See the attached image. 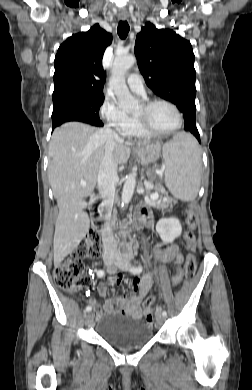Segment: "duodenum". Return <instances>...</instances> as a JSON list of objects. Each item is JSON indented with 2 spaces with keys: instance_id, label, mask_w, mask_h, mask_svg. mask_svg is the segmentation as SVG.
Returning <instances> with one entry per match:
<instances>
[{
  "instance_id": "410a0bca",
  "label": "duodenum",
  "mask_w": 252,
  "mask_h": 390,
  "mask_svg": "<svg viewBox=\"0 0 252 390\" xmlns=\"http://www.w3.org/2000/svg\"><path fill=\"white\" fill-rule=\"evenodd\" d=\"M92 208H93L92 214L94 220V228L102 233L105 227V214L103 210L102 199L100 197L95 198L93 200ZM143 208L144 207H140L135 212L134 228L136 230H140L144 225H146L142 216Z\"/></svg>"
}]
</instances>
